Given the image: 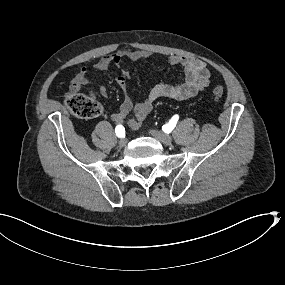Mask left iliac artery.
<instances>
[{"label":"left iliac artery","instance_id":"left-iliac-artery-1","mask_svg":"<svg viewBox=\"0 0 285 285\" xmlns=\"http://www.w3.org/2000/svg\"><path fill=\"white\" fill-rule=\"evenodd\" d=\"M178 119H179V116H178V115H174V116L171 118V120L169 121L168 124L163 125L162 129L164 130V128H165L166 126H170V127L174 128V127L176 126V123H177Z\"/></svg>","mask_w":285,"mask_h":285}]
</instances>
